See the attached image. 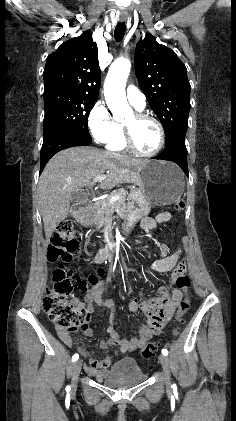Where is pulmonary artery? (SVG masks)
<instances>
[{
  "label": "pulmonary artery",
  "mask_w": 236,
  "mask_h": 421,
  "mask_svg": "<svg viewBox=\"0 0 236 421\" xmlns=\"http://www.w3.org/2000/svg\"><path fill=\"white\" fill-rule=\"evenodd\" d=\"M128 101L138 110H143L146 107V98L141 91L134 86L127 88Z\"/></svg>",
  "instance_id": "obj_1"
}]
</instances>
